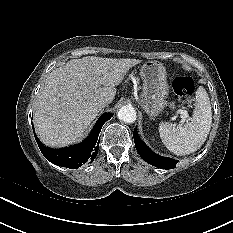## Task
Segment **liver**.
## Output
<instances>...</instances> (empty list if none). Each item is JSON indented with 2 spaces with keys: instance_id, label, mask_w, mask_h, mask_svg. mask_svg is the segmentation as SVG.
<instances>
[{
  "instance_id": "6515ba94",
  "label": "liver",
  "mask_w": 233,
  "mask_h": 233,
  "mask_svg": "<svg viewBox=\"0 0 233 233\" xmlns=\"http://www.w3.org/2000/svg\"><path fill=\"white\" fill-rule=\"evenodd\" d=\"M141 60L87 56L54 69L38 94L34 126L41 142L65 147L82 137L102 107V98L113 101L115 86Z\"/></svg>"
}]
</instances>
